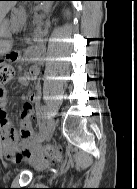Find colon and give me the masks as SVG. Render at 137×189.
<instances>
[{
    "instance_id": "colon-1",
    "label": "colon",
    "mask_w": 137,
    "mask_h": 189,
    "mask_svg": "<svg viewBox=\"0 0 137 189\" xmlns=\"http://www.w3.org/2000/svg\"><path fill=\"white\" fill-rule=\"evenodd\" d=\"M17 59V53L10 52L6 59L0 60V88L11 80L14 74L13 62ZM33 109V106L31 107ZM44 158L53 162H61L63 157L59 150L48 146L44 150Z\"/></svg>"
}]
</instances>
